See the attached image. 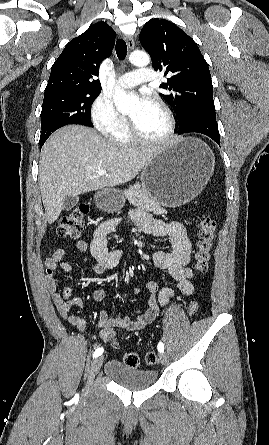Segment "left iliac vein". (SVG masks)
I'll return each instance as SVG.
<instances>
[{
    "label": "left iliac vein",
    "mask_w": 269,
    "mask_h": 445,
    "mask_svg": "<svg viewBox=\"0 0 269 445\" xmlns=\"http://www.w3.org/2000/svg\"><path fill=\"white\" fill-rule=\"evenodd\" d=\"M159 360L161 362L162 365H166L168 363V357L165 353H160L159 355Z\"/></svg>",
    "instance_id": "4c4485c4"
}]
</instances>
